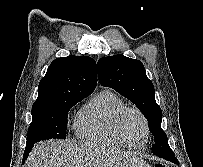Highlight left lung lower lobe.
<instances>
[{"mask_svg":"<svg viewBox=\"0 0 203 167\" xmlns=\"http://www.w3.org/2000/svg\"><path fill=\"white\" fill-rule=\"evenodd\" d=\"M161 145H155L152 149V152L163 158V159H166V160H173L174 157V154L170 148V146L168 145V142H164V143H160Z\"/></svg>","mask_w":203,"mask_h":167,"instance_id":"0a47b994","label":"left lung lower lobe"}]
</instances>
